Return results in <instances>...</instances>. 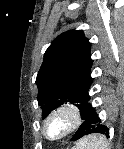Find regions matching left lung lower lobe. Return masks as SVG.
I'll list each match as a JSON object with an SVG mask.
<instances>
[{
	"mask_svg": "<svg viewBox=\"0 0 124 149\" xmlns=\"http://www.w3.org/2000/svg\"><path fill=\"white\" fill-rule=\"evenodd\" d=\"M94 133L106 135L107 137H109V128L102 123V120L99 118L95 109L91 105H89V110L86 115V119L81 124L78 131L74 134L71 141H76L82 138L83 136Z\"/></svg>",
	"mask_w": 124,
	"mask_h": 149,
	"instance_id": "left-lung-lower-lobe-1",
	"label": "left lung lower lobe"
}]
</instances>
